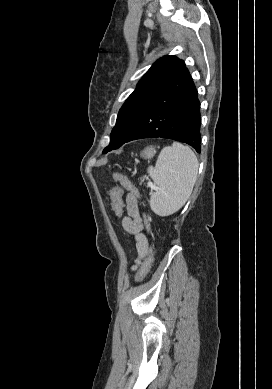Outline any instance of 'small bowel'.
<instances>
[{
	"label": "small bowel",
	"instance_id": "obj_1",
	"mask_svg": "<svg viewBox=\"0 0 272 389\" xmlns=\"http://www.w3.org/2000/svg\"><path fill=\"white\" fill-rule=\"evenodd\" d=\"M125 211L126 214L122 219V226L136 241L138 258L133 266V270H136L141 263V260L148 252V241L144 234V230L148 229L149 225L139 210L137 196L133 194H128L126 196Z\"/></svg>",
	"mask_w": 272,
	"mask_h": 389
}]
</instances>
